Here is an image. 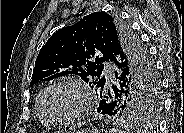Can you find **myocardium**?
Returning a JSON list of instances; mask_svg holds the SVG:
<instances>
[{"instance_id":"myocardium-1","label":"myocardium","mask_w":184,"mask_h":133,"mask_svg":"<svg viewBox=\"0 0 184 133\" xmlns=\"http://www.w3.org/2000/svg\"><path fill=\"white\" fill-rule=\"evenodd\" d=\"M60 87H66L74 90L80 99V107L79 110L71 117L66 119H54L52 118L47 109H46V101L49 96V94L56 88ZM40 110L45 118V120L55 126H68L73 125L75 123L80 122L83 120L87 114L90 111V100L87 88L78 81H72V80H64V81H58L56 83H53L49 87H47L41 97L40 100Z\"/></svg>"}]
</instances>
